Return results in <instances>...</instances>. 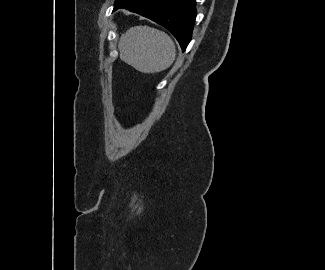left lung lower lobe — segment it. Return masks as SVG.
Masks as SVG:
<instances>
[{
  "instance_id": "left-lung-lower-lobe-1",
  "label": "left lung lower lobe",
  "mask_w": 325,
  "mask_h": 270,
  "mask_svg": "<svg viewBox=\"0 0 325 270\" xmlns=\"http://www.w3.org/2000/svg\"><path fill=\"white\" fill-rule=\"evenodd\" d=\"M114 10L126 8L167 28L184 51L196 18L195 0H120Z\"/></svg>"
}]
</instances>
